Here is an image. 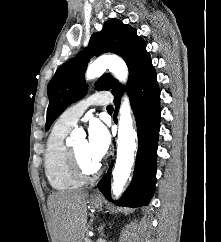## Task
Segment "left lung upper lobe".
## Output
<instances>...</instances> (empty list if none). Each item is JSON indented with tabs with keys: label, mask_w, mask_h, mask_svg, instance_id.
I'll return each instance as SVG.
<instances>
[{
	"label": "left lung upper lobe",
	"mask_w": 221,
	"mask_h": 242,
	"mask_svg": "<svg viewBox=\"0 0 221 242\" xmlns=\"http://www.w3.org/2000/svg\"><path fill=\"white\" fill-rule=\"evenodd\" d=\"M106 52L116 53L125 60L129 68L128 82L152 65L150 55L146 51V43L137 35L136 29L115 18L106 21L103 29L91 36L87 48L56 70L48 85L46 130L69 104L85 95L87 86L84 73L88 61L92 56ZM95 87L98 90L112 89V93L122 89V85L110 74L100 77Z\"/></svg>",
	"instance_id": "5c2ea615"
}]
</instances>
